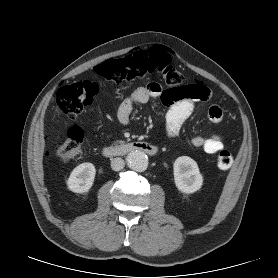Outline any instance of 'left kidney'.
<instances>
[{
  "label": "left kidney",
  "instance_id": "obj_1",
  "mask_svg": "<svg viewBox=\"0 0 278 278\" xmlns=\"http://www.w3.org/2000/svg\"><path fill=\"white\" fill-rule=\"evenodd\" d=\"M175 185L179 191L191 194L203 184V177L197 163L188 156L178 157L173 164Z\"/></svg>",
  "mask_w": 278,
  "mask_h": 278
}]
</instances>
